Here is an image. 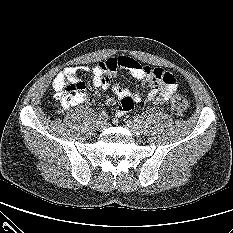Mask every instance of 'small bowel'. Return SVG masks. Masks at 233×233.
I'll use <instances>...</instances> for the list:
<instances>
[{"instance_id":"1","label":"small bowel","mask_w":233,"mask_h":233,"mask_svg":"<svg viewBox=\"0 0 233 233\" xmlns=\"http://www.w3.org/2000/svg\"><path fill=\"white\" fill-rule=\"evenodd\" d=\"M127 70L143 86L147 87L145 96L141 89L131 90L122 88L118 83H112L119 70ZM80 72H90L93 84L101 89H107L111 84L119 100L115 115L122 116L133 110L143 100L158 105L166 104L177 89V77L162 68H151L142 65L128 56L112 57L102 61L92 68L86 66H70L60 71L53 80L52 89L59 100L64 93L67 83H82ZM83 100L76 104L83 102Z\"/></svg>"}]
</instances>
